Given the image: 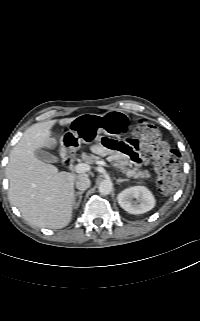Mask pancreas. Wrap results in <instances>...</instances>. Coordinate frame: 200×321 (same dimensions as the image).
<instances>
[{
	"mask_svg": "<svg viewBox=\"0 0 200 321\" xmlns=\"http://www.w3.org/2000/svg\"><path fill=\"white\" fill-rule=\"evenodd\" d=\"M82 160L88 164H93L101 161V157L95 156L93 154H83ZM122 172L129 178L139 179V178H149L150 173L148 170H138L137 168H122Z\"/></svg>",
	"mask_w": 200,
	"mask_h": 321,
	"instance_id": "1",
	"label": "pancreas"
}]
</instances>
